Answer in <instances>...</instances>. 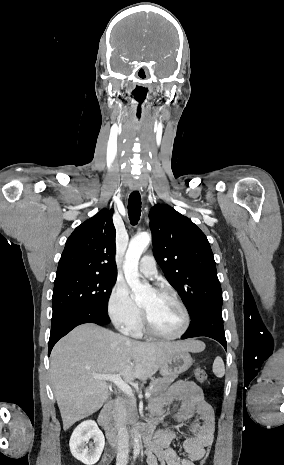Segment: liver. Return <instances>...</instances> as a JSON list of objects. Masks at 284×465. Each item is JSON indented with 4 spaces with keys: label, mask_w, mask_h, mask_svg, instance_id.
<instances>
[{
    "label": "liver",
    "mask_w": 284,
    "mask_h": 465,
    "mask_svg": "<svg viewBox=\"0 0 284 465\" xmlns=\"http://www.w3.org/2000/svg\"><path fill=\"white\" fill-rule=\"evenodd\" d=\"M202 341L140 343L93 323L80 325L58 341L51 353L50 377L63 431L101 409L108 399L105 381L92 375H121L126 383L146 381L177 351L201 353Z\"/></svg>",
    "instance_id": "6515ba94"
}]
</instances>
